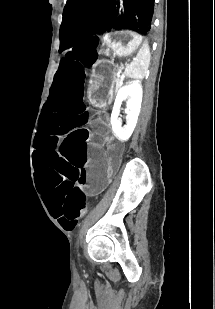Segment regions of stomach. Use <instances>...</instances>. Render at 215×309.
Returning <instances> with one entry per match:
<instances>
[{
	"mask_svg": "<svg viewBox=\"0 0 215 309\" xmlns=\"http://www.w3.org/2000/svg\"><path fill=\"white\" fill-rule=\"evenodd\" d=\"M101 40L105 47L103 53L112 59L98 61L90 75L88 91L97 101L106 100L112 92L117 70L113 59L125 58L138 51L143 37L131 30H114L104 34Z\"/></svg>",
	"mask_w": 215,
	"mask_h": 309,
	"instance_id": "0dacf381",
	"label": "stomach"
}]
</instances>
